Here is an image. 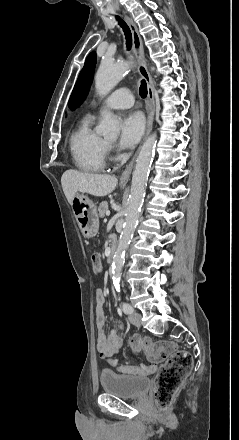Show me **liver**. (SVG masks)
<instances>
[{
    "instance_id": "1",
    "label": "liver",
    "mask_w": 239,
    "mask_h": 440,
    "mask_svg": "<svg viewBox=\"0 0 239 440\" xmlns=\"http://www.w3.org/2000/svg\"><path fill=\"white\" fill-rule=\"evenodd\" d=\"M61 184L72 206L77 192H85L91 196H108L115 190L118 180L115 176H106V174H86L77 170H66L61 178Z\"/></svg>"
}]
</instances>
